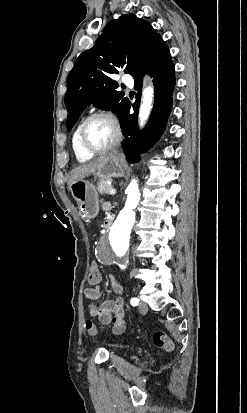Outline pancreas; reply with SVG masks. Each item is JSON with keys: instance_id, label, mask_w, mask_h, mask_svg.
Here are the masks:
<instances>
[{"instance_id": "1", "label": "pancreas", "mask_w": 247, "mask_h": 413, "mask_svg": "<svg viewBox=\"0 0 247 413\" xmlns=\"http://www.w3.org/2000/svg\"><path fill=\"white\" fill-rule=\"evenodd\" d=\"M97 188L101 194H108L113 186L112 184H108L107 180H99Z\"/></svg>"}]
</instances>
